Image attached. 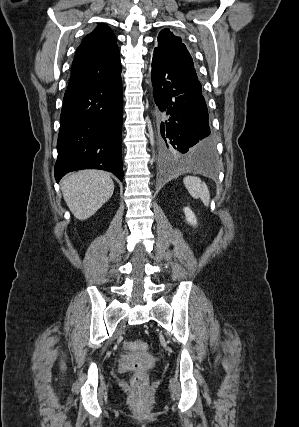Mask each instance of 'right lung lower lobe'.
Instances as JSON below:
<instances>
[{
	"label": "right lung lower lobe",
	"instance_id": "obj_1",
	"mask_svg": "<svg viewBox=\"0 0 299 427\" xmlns=\"http://www.w3.org/2000/svg\"><path fill=\"white\" fill-rule=\"evenodd\" d=\"M121 70L110 78L65 92L57 141L55 178L101 169L123 179Z\"/></svg>",
	"mask_w": 299,
	"mask_h": 427
}]
</instances>
